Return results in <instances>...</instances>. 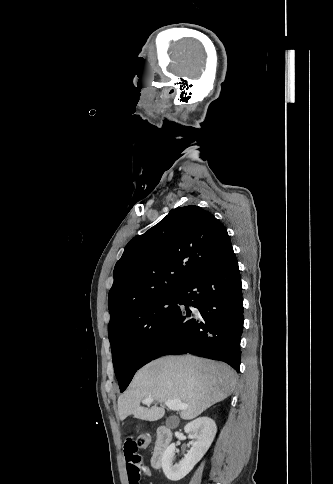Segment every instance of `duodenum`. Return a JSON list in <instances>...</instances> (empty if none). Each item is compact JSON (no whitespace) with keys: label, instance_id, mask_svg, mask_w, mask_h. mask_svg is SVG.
I'll list each match as a JSON object with an SVG mask.
<instances>
[{"label":"duodenum","instance_id":"1","mask_svg":"<svg viewBox=\"0 0 333 484\" xmlns=\"http://www.w3.org/2000/svg\"><path fill=\"white\" fill-rule=\"evenodd\" d=\"M172 438V431L168 427L161 426L157 429V439L151 460L154 468L161 467L165 450L171 443Z\"/></svg>","mask_w":333,"mask_h":484}]
</instances>
